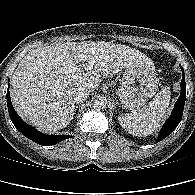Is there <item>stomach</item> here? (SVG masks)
Listing matches in <instances>:
<instances>
[{"instance_id":"0dacf381","label":"stomach","mask_w":195,"mask_h":195,"mask_svg":"<svg viewBox=\"0 0 195 195\" xmlns=\"http://www.w3.org/2000/svg\"><path fill=\"white\" fill-rule=\"evenodd\" d=\"M159 79L155 74L154 63L147 56L138 58L125 68L117 94L124 109L135 111L154 96Z\"/></svg>"}]
</instances>
